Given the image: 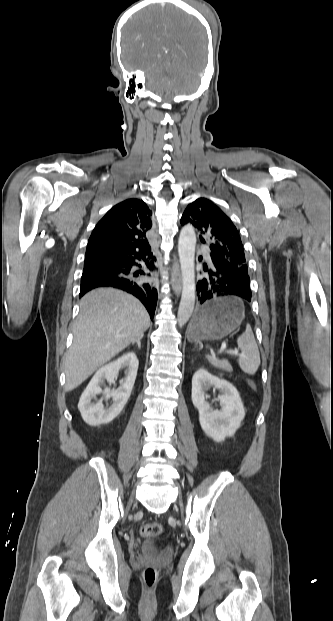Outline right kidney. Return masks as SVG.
<instances>
[{"mask_svg":"<svg viewBox=\"0 0 333 621\" xmlns=\"http://www.w3.org/2000/svg\"><path fill=\"white\" fill-rule=\"evenodd\" d=\"M139 361L134 352H128L109 364L101 367L93 376L88 386L82 393L78 409L83 420L91 426L110 423L116 418L124 406L126 405L134 382L137 376ZM125 369L126 377L121 381L120 387L115 390L105 388L103 391L101 385L104 381L114 382L120 369ZM103 392L105 399L113 398V404L109 408H104L101 401L92 403L91 400L96 395Z\"/></svg>","mask_w":333,"mask_h":621,"instance_id":"right-kidney-1","label":"right kidney"}]
</instances>
